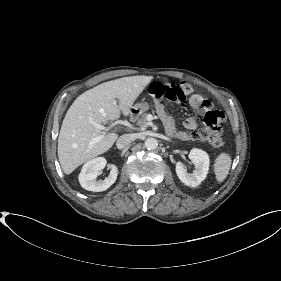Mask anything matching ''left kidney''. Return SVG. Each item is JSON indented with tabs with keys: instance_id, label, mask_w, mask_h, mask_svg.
Masks as SVG:
<instances>
[{
	"instance_id": "left-kidney-1",
	"label": "left kidney",
	"mask_w": 281,
	"mask_h": 281,
	"mask_svg": "<svg viewBox=\"0 0 281 281\" xmlns=\"http://www.w3.org/2000/svg\"><path fill=\"white\" fill-rule=\"evenodd\" d=\"M189 159L195 166L193 173H188L182 162L178 161L175 166L178 178L185 185L190 187L198 186L207 176L209 170L208 154L197 148H193L189 153Z\"/></svg>"
}]
</instances>
